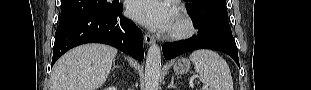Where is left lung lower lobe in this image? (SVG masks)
I'll list each match as a JSON object with an SVG mask.
<instances>
[{
  "label": "left lung lower lobe",
  "instance_id": "0a47b994",
  "mask_svg": "<svg viewBox=\"0 0 311 90\" xmlns=\"http://www.w3.org/2000/svg\"><path fill=\"white\" fill-rule=\"evenodd\" d=\"M196 49L221 51L231 56L239 65L237 46L232 33L220 29L210 28L201 31L198 30L197 36L188 42L166 43L162 47L166 60Z\"/></svg>",
  "mask_w": 311,
  "mask_h": 90
}]
</instances>
